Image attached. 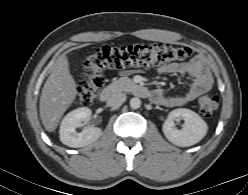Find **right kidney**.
<instances>
[{"label": "right kidney", "instance_id": "1", "mask_svg": "<svg viewBox=\"0 0 248 195\" xmlns=\"http://www.w3.org/2000/svg\"><path fill=\"white\" fill-rule=\"evenodd\" d=\"M91 110L87 107L77 108L69 112L60 125V141L72 148L87 146L100 138L102 130L98 127L87 126L82 132L76 129L81 126L82 121H88L91 117Z\"/></svg>", "mask_w": 248, "mask_h": 195}]
</instances>
